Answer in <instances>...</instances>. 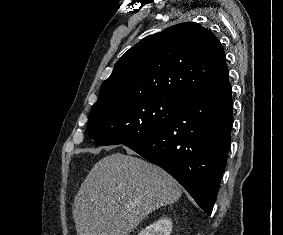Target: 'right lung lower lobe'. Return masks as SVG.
<instances>
[{
	"label": "right lung lower lobe",
	"instance_id": "right-lung-lower-lobe-1",
	"mask_svg": "<svg viewBox=\"0 0 283 235\" xmlns=\"http://www.w3.org/2000/svg\"><path fill=\"white\" fill-rule=\"evenodd\" d=\"M232 112L228 79L180 98L163 127L126 145L172 175L211 214L231 144Z\"/></svg>",
	"mask_w": 283,
	"mask_h": 235
}]
</instances>
